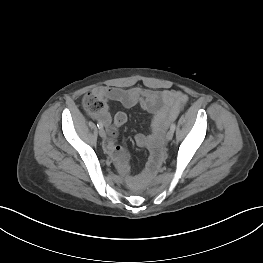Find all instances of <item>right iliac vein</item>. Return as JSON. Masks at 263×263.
Returning <instances> with one entry per match:
<instances>
[{
	"mask_svg": "<svg viewBox=\"0 0 263 263\" xmlns=\"http://www.w3.org/2000/svg\"><path fill=\"white\" fill-rule=\"evenodd\" d=\"M99 135H100V137H102V138H105V137H106V132H105V130H104L103 128L99 130Z\"/></svg>",
	"mask_w": 263,
	"mask_h": 263,
	"instance_id": "right-iliac-vein-1",
	"label": "right iliac vein"
}]
</instances>
